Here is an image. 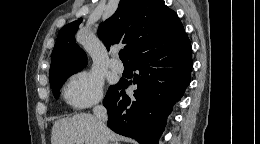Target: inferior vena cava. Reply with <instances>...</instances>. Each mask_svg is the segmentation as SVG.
Listing matches in <instances>:
<instances>
[{
  "label": "inferior vena cava",
  "instance_id": "602c4592",
  "mask_svg": "<svg viewBox=\"0 0 260 144\" xmlns=\"http://www.w3.org/2000/svg\"><path fill=\"white\" fill-rule=\"evenodd\" d=\"M93 113L97 119L99 128L102 130L108 118L106 108L102 104L97 103L93 108Z\"/></svg>",
  "mask_w": 260,
  "mask_h": 144
}]
</instances>
